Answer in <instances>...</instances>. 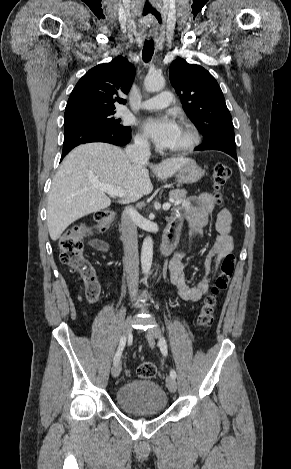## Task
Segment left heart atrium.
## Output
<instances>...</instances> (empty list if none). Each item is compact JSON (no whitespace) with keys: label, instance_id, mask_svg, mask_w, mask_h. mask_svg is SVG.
<instances>
[{"label":"left heart atrium","instance_id":"39dd6f15","mask_svg":"<svg viewBox=\"0 0 291 469\" xmlns=\"http://www.w3.org/2000/svg\"><path fill=\"white\" fill-rule=\"evenodd\" d=\"M142 128L144 133L159 147L170 148L179 133L180 127L169 115L147 118Z\"/></svg>","mask_w":291,"mask_h":469}]
</instances>
